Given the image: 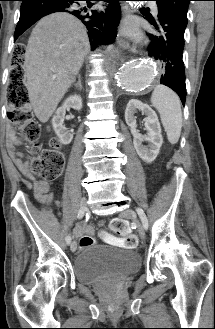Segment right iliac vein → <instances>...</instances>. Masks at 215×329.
Listing matches in <instances>:
<instances>
[{
    "instance_id": "1",
    "label": "right iliac vein",
    "mask_w": 215,
    "mask_h": 329,
    "mask_svg": "<svg viewBox=\"0 0 215 329\" xmlns=\"http://www.w3.org/2000/svg\"><path fill=\"white\" fill-rule=\"evenodd\" d=\"M86 206H87V201H86V198H82L81 202H80V209L84 210L86 209ZM70 249L72 252H75L76 249H77V243L76 241H73L70 245Z\"/></svg>"
}]
</instances>
